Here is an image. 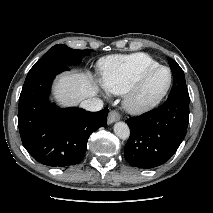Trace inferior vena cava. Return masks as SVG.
I'll return each mask as SVG.
<instances>
[{"instance_id":"obj_1","label":"inferior vena cava","mask_w":213,"mask_h":213,"mask_svg":"<svg viewBox=\"0 0 213 213\" xmlns=\"http://www.w3.org/2000/svg\"><path fill=\"white\" fill-rule=\"evenodd\" d=\"M80 107L88 111H99L103 108V101L98 98H89L82 101Z\"/></svg>"}]
</instances>
